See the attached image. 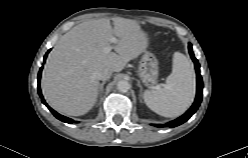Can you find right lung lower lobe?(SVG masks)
I'll return each instance as SVG.
<instances>
[{"instance_id":"right-lung-lower-lobe-1","label":"right lung lower lobe","mask_w":248,"mask_h":158,"mask_svg":"<svg viewBox=\"0 0 248 158\" xmlns=\"http://www.w3.org/2000/svg\"><path fill=\"white\" fill-rule=\"evenodd\" d=\"M49 52V51H48ZM48 53H46L45 57H44V61H45V58L47 56ZM41 73H42V68H40L39 70V74H38V93H39V96L41 97V100L42 102L48 107V109L53 113V115L58 118L59 120L63 121V122H66V123H77V121H73L72 119L70 118H67L65 116H62L60 114H58L56 111H54L53 109H51L47 103L45 102L43 96H42V93H41V90H40V77H41Z\"/></svg>"}]
</instances>
